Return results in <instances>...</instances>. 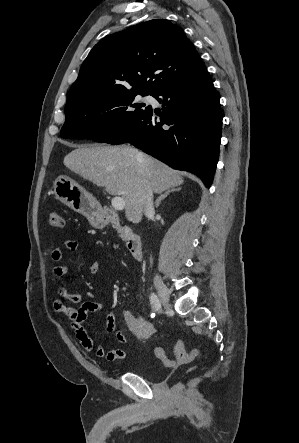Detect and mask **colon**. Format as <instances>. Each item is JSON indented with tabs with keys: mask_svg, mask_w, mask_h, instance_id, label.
<instances>
[{
	"mask_svg": "<svg viewBox=\"0 0 299 443\" xmlns=\"http://www.w3.org/2000/svg\"><path fill=\"white\" fill-rule=\"evenodd\" d=\"M48 222L52 228H62L64 225L63 217L60 212L52 211L49 213ZM123 320L128 331L138 339L147 340L152 338L157 330L155 326L141 318L135 316L130 310H123ZM155 355L161 359L166 365L173 366L175 363L187 364L199 356V350L195 349L188 352L182 341L177 340L174 345L175 361L169 359L162 348L155 349ZM181 385L174 387L175 391L180 390Z\"/></svg>",
	"mask_w": 299,
	"mask_h": 443,
	"instance_id": "1",
	"label": "colon"
}]
</instances>
